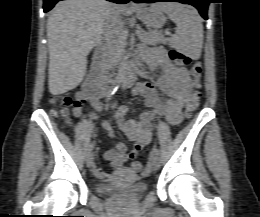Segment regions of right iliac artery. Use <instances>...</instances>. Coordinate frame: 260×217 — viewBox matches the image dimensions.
Listing matches in <instances>:
<instances>
[{
	"label": "right iliac artery",
	"mask_w": 260,
	"mask_h": 217,
	"mask_svg": "<svg viewBox=\"0 0 260 217\" xmlns=\"http://www.w3.org/2000/svg\"><path fill=\"white\" fill-rule=\"evenodd\" d=\"M120 86V82L118 83H115L113 88L110 90L109 94H108V99H110L112 97V95L115 94V92L117 91V89L119 88ZM94 148V142L90 143L88 148H87V153H91V151L93 150Z\"/></svg>",
	"instance_id": "right-iliac-artery-1"
}]
</instances>
